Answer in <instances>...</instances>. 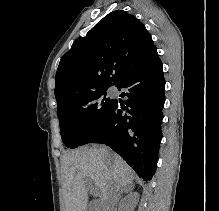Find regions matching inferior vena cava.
<instances>
[{
    "label": "inferior vena cava",
    "mask_w": 219,
    "mask_h": 211,
    "mask_svg": "<svg viewBox=\"0 0 219 211\" xmlns=\"http://www.w3.org/2000/svg\"><path fill=\"white\" fill-rule=\"evenodd\" d=\"M110 187L111 188H108V193H110L109 197L106 198L107 202L104 203L105 207H112L113 203H115L117 197H119L121 193V188H118L119 187L118 183H111ZM102 211H107V210L104 208Z\"/></svg>",
    "instance_id": "602c4592"
}]
</instances>
